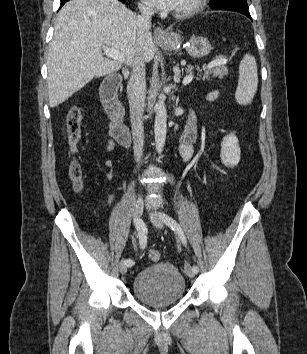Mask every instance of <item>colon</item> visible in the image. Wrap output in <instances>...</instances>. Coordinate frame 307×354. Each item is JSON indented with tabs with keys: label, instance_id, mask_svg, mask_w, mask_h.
I'll return each instance as SVG.
<instances>
[{
	"label": "colon",
	"instance_id": "1",
	"mask_svg": "<svg viewBox=\"0 0 307 354\" xmlns=\"http://www.w3.org/2000/svg\"><path fill=\"white\" fill-rule=\"evenodd\" d=\"M80 121L81 113L78 107L72 106L65 116L64 128L66 140L69 147L75 150L80 140ZM70 177L73 185L76 189L82 188V171L79 163L73 162L69 169ZM148 258L152 261H158L160 259V253L156 250H150L148 252Z\"/></svg>",
	"mask_w": 307,
	"mask_h": 354
}]
</instances>
